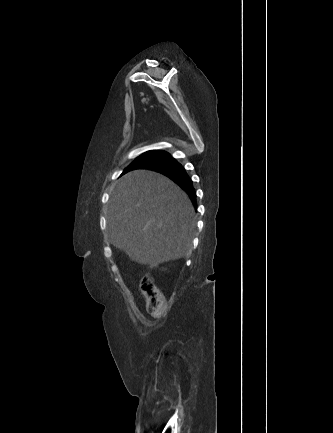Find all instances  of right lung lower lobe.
Listing matches in <instances>:
<instances>
[{
    "label": "right lung lower lobe",
    "instance_id": "98d812e1",
    "mask_svg": "<svg viewBox=\"0 0 333 433\" xmlns=\"http://www.w3.org/2000/svg\"><path fill=\"white\" fill-rule=\"evenodd\" d=\"M139 168L151 169L164 174L176 184H178L190 196L193 205L195 207L197 206L195 189L192 185L190 177L188 176L186 170L182 167V165L169 154L153 162L143 164Z\"/></svg>",
    "mask_w": 333,
    "mask_h": 433
}]
</instances>
